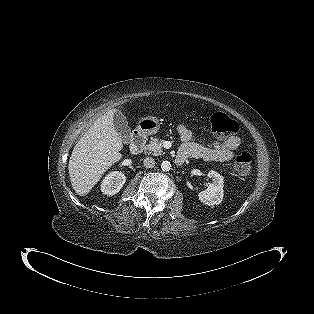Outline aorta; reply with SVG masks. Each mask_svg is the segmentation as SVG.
I'll list each match as a JSON object with an SVG mask.
<instances>
[{
	"label": "aorta",
	"instance_id": "762f6f07",
	"mask_svg": "<svg viewBox=\"0 0 314 314\" xmlns=\"http://www.w3.org/2000/svg\"><path fill=\"white\" fill-rule=\"evenodd\" d=\"M161 169L166 172L169 171L171 169V163L167 160L163 161L161 163Z\"/></svg>",
	"mask_w": 314,
	"mask_h": 314
}]
</instances>
